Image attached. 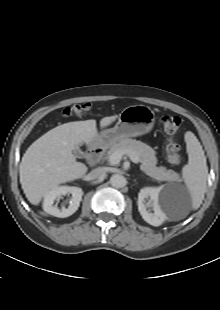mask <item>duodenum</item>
Listing matches in <instances>:
<instances>
[{
    "label": "duodenum",
    "mask_w": 220,
    "mask_h": 310,
    "mask_svg": "<svg viewBox=\"0 0 220 310\" xmlns=\"http://www.w3.org/2000/svg\"><path fill=\"white\" fill-rule=\"evenodd\" d=\"M103 152H104L103 145H96V146L92 147L88 152L89 163L94 165L97 162H99V160L102 157Z\"/></svg>",
    "instance_id": "duodenum-1"
}]
</instances>
